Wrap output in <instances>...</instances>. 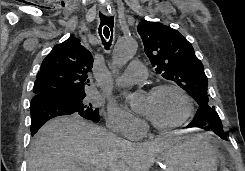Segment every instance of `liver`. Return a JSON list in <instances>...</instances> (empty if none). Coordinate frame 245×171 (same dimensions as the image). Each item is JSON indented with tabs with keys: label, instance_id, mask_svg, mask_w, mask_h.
Wrapping results in <instances>:
<instances>
[{
	"label": "liver",
	"instance_id": "6515ba94",
	"mask_svg": "<svg viewBox=\"0 0 245 171\" xmlns=\"http://www.w3.org/2000/svg\"><path fill=\"white\" fill-rule=\"evenodd\" d=\"M180 139L168 133L132 143L74 115L50 120L33 141L28 171H148Z\"/></svg>",
	"mask_w": 245,
	"mask_h": 171
}]
</instances>
